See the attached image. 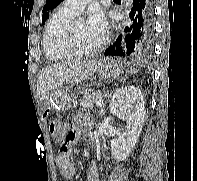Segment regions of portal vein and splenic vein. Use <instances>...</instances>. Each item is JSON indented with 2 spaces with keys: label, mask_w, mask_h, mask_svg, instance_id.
<instances>
[{
  "label": "portal vein and splenic vein",
  "mask_w": 197,
  "mask_h": 181,
  "mask_svg": "<svg viewBox=\"0 0 197 181\" xmlns=\"http://www.w3.org/2000/svg\"><path fill=\"white\" fill-rule=\"evenodd\" d=\"M103 105V100H98L96 102V106H102Z\"/></svg>",
  "instance_id": "1"
}]
</instances>
